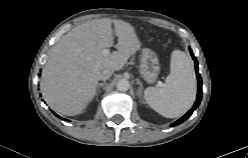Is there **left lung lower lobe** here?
Instances as JSON below:
<instances>
[{"instance_id":"obj_1","label":"left lung lower lobe","mask_w":248,"mask_h":158,"mask_svg":"<svg viewBox=\"0 0 248 158\" xmlns=\"http://www.w3.org/2000/svg\"><path fill=\"white\" fill-rule=\"evenodd\" d=\"M190 54L192 55V58L194 59V61L196 62V68L198 66L197 60L195 58V56L193 55L192 51H190ZM197 74V78H198V95H197V100L193 106V108L188 111L182 118H180L179 120H177L176 122H174L173 124H171V126H176L182 122H184L187 118L190 117V115H192V112L198 107L200 101H201V97H202V80L201 77L199 75L198 72H196Z\"/></svg>"}]
</instances>
